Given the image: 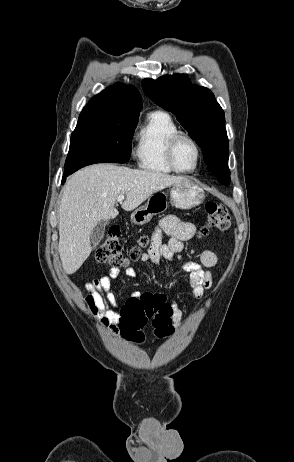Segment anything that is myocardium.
<instances>
[{
  "label": "myocardium",
  "instance_id": "myocardium-1",
  "mask_svg": "<svg viewBox=\"0 0 294 462\" xmlns=\"http://www.w3.org/2000/svg\"><path fill=\"white\" fill-rule=\"evenodd\" d=\"M181 140L189 141L194 146V148L196 150V163H195V166L192 169H189V170L181 169L177 165L176 160H175L176 146ZM166 159H167V162H168L169 166L173 169V171L178 172V173H183V174L193 173L198 169V167L200 165V162H201V159H202L201 147H200L199 143L196 141V139L194 137H192L191 135H189L187 133L179 131V132L175 133L174 135H172L170 137L168 143H167Z\"/></svg>",
  "mask_w": 294,
  "mask_h": 462
}]
</instances>
